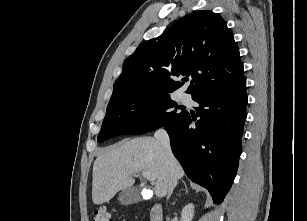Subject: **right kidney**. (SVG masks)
<instances>
[{
	"instance_id": "1",
	"label": "right kidney",
	"mask_w": 307,
	"mask_h": 221,
	"mask_svg": "<svg viewBox=\"0 0 307 221\" xmlns=\"http://www.w3.org/2000/svg\"><path fill=\"white\" fill-rule=\"evenodd\" d=\"M194 216V205L192 203L187 204L181 211L182 221H192Z\"/></svg>"
}]
</instances>
